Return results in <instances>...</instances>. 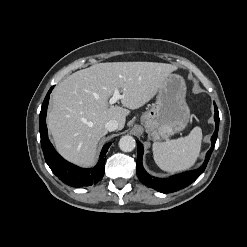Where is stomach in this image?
<instances>
[{
  "instance_id": "stomach-1",
  "label": "stomach",
  "mask_w": 247,
  "mask_h": 247,
  "mask_svg": "<svg viewBox=\"0 0 247 247\" xmlns=\"http://www.w3.org/2000/svg\"><path fill=\"white\" fill-rule=\"evenodd\" d=\"M186 84L177 74H169L157 91L156 101L141 116V124L154 141L167 140L186 128L190 109L185 101Z\"/></svg>"
}]
</instances>
